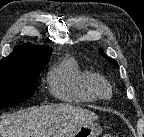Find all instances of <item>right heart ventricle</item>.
I'll return each mask as SVG.
<instances>
[{
    "label": "right heart ventricle",
    "instance_id": "right-heart-ventricle-1",
    "mask_svg": "<svg viewBox=\"0 0 144 137\" xmlns=\"http://www.w3.org/2000/svg\"><path fill=\"white\" fill-rule=\"evenodd\" d=\"M94 76L74 57L66 56L50 70L47 82L56 99L70 104L89 103L98 100L90 87Z\"/></svg>",
    "mask_w": 144,
    "mask_h": 137
}]
</instances>
